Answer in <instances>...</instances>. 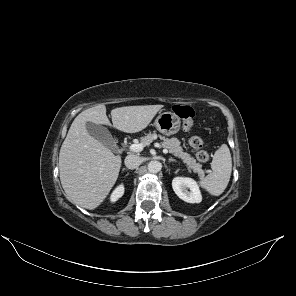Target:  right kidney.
Segmentation results:
<instances>
[{
	"instance_id": "obj_1",
	"label": "right kidney",
	"mask_w": 296,
	"mask_h": 296,
	"mask_svg": "<svg viewBox=\"0 0 296 296\" xmlns=\"http://www.w3.org/2000/svg\"><path fill=\"white\" fill-rule=\"evenodd\" d=\"M124 194V186L123 184L119 185L113 193L111 194L110 201L111 202H116L120 197H122Z\"/></svg>"
}]
</instances>
